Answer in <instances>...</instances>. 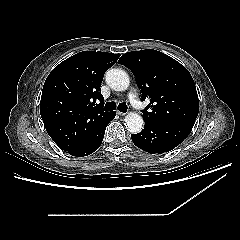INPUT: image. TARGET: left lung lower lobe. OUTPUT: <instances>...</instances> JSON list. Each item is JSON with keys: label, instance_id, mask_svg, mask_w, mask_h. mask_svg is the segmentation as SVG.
Segmentation results:
<instances>
[{"label": "left lung lower lobe", "instance_id": "0a47b994", "mask_svg": "<svg viewBox=\"0 0 240 240\" xmlns=\"http://www.w3.org/2000/svg\"><path fill=\"white\" fill-rule=\"evenodd\" d=\"M193 125V122L188 121H145L144 129L138 134H132L131 138L138 148L151 154H162L177 147L190 134Z\"/></svg>", "mask_w": 240, "mask_h": 240}]
</instances>
